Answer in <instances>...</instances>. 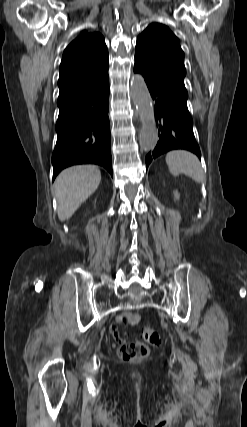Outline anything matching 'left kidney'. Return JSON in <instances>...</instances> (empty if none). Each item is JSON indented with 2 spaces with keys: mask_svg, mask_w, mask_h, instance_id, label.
I'll return each mask as SVG.
<instances>
[{
  "mask_svg": "<svg viewBox=\"0 0 247 427\" xmlns=\"http://www.w3.org/2000/svg\"><path fill=\"white\" fill-rule=\"evenodd\" d=\"M179 197H180V195H179L178 191H177V190H176V191H174V198H175L176 200H178V199H179Z\"/></svg>",
  "mask_w": 247,
  "mask_h": 427,
  "instance_id": "5707ae66",
  "label": "left kidney"
}]
</instances>
